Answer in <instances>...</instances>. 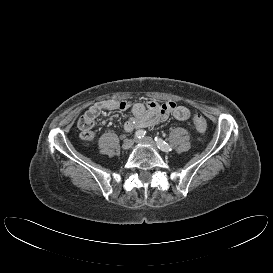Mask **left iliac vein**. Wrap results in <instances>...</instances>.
<instances>
[{"label": "left iliac vein", "mask_w": 273, "mask_h": 273, "mask_svg": "<svg viewBox=\"0 0 273 273\" xmlns=\"http://www.w3.org/2000/svg\"><path fill=\"white\" fill-rule=\"evenodd\" d=\"M137 143L140 144H147V145H151L152 147H157L156 143L154 142V140L150 137H145L143 139H138L136 140Z\"/></svg>", "instance_id": "left-iliac-vein-1"}]
</instances>
